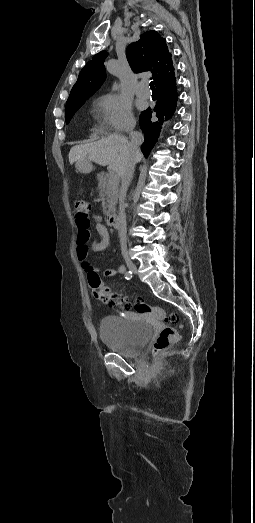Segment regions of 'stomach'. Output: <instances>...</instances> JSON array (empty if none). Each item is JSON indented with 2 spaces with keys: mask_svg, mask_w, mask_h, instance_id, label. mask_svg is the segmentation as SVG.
I'll return each instance as SVG.
<instances>
[{
  "mask_svg": "<svg viewBox=\"0 0 255 523\" xmlns=\"http://www.w3.org/2000/svg\"><path fill=\"white\" fill-rule=\"evenodd\" d=\"M80 173H81V175H83V176H88V175H90V173H91V168H90V166H88V165H83V166H81V168H80Z\"/></svg>",
  "mask_w": 255,
  "mask_h": 523,
  "instance_id": "obj_1",
  "label": "stomach"
}]
</instances>
